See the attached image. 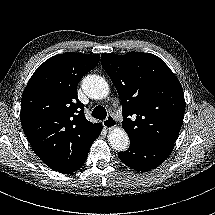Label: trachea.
<instances>
[{
	"label": "trachea",
	"instance_id": "trachea-1",
	"mask_svg": "<svg viewBox=\"0 0 215 215\" xmlns=\"http://www.w3.org/2000/svg\"><path fill=\"white\" fill-rule=\"evenodd\" d=\"M92 116L99 120H104L107 117L106 109L103 106H96L92 111Z\"/></svg>",
	"mask_w": 215,
	"mask_h": 215
}]
</instances>
